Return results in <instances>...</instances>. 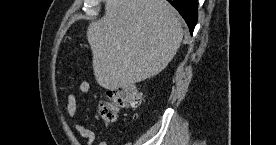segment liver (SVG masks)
I'll use <instances>...</instances> for the list:
<instances>
[{"instance_id":"6515ba94","label":"liver","mask_w":276,"mask_h":145,"mask_svg":"<svg viewBox=\"0 0 276 145\" xmlns=\"http://www.w3.org/2000/svg\"><path fill=\"white\" fill-rule=\"evenodd\" d=\"M182 22L166 0H107L87 40L97 83L116 90L159 74L176 55Z\"/></svg>"}]
</instances>
